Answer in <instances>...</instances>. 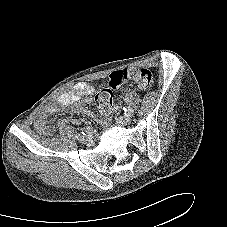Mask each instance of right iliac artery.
<instances>
[{
  "instance_id": "82829eb1",
  "label": "right iliac artery",
  "mask_w": 227,
  "mask_h": 227,
  "mask_svg": "<svg viewBox=\"0 0 227 227\" xmlns=\"http://www.w3.org/2000/svg\"><path fill=\"white\" fill-rule=\"evenodd\" d=\"M82 134H84V133H82ZM81 136H82L81 134H76V135H75V138H76V139H79Z\"/></svg>"
}]
</instances>
